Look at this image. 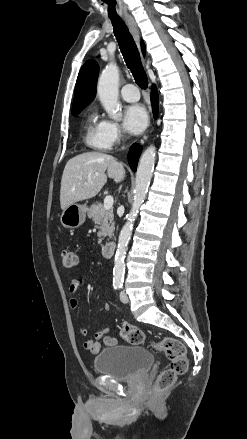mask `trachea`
<instances>
[{"instance_id": "1", "label": "trachea", "mask_w": 247, "mask_h": 439, "mask_svg": "<svg viewBox=\"0 0 247 439\" xmlns=\"http://www.w3.org/2000/svg\"><path fill=\"white\" fill-rule=\"evenodd\" d=\"M112 21L114 34L119 44L126 65L130 69L136 83L142 89L148 87L146 72L142 66L137 46L128 27L120 17L109 16Z\"/></svg>"}]
</instances>
